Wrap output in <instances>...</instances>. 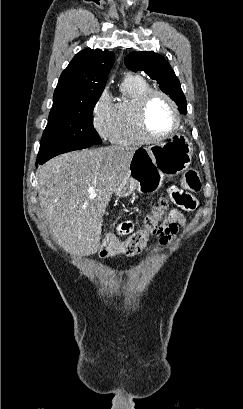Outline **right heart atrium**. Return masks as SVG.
I'll list each match as a JSON object with an SVG mask.
<instances>
[{
    "label": "right heart atrium",
    "mask_w": 243,
    "mask_h": 409,
    "mask_svg": "<svg viewBox=\"0 0 243 409\" xmlns=\"http://www.w3.org/2000/svg\"><path fill=\"white\" fill-rule=\"evenodd\" d=\"M92 126L105 140H110L114 126V104L107 90L101 92L92 108Z\"/></svg>",
    "instance_id": "right-heart-atrium-1"
}]
</instances>
